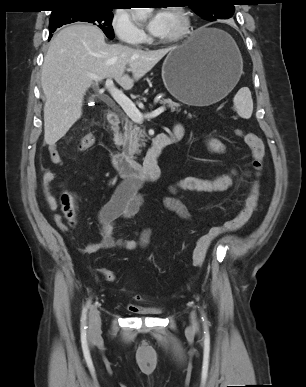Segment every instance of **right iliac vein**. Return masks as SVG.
<instances>
[{"mask_svg":"<svg viewBox=\"0 0 306 387\" xmlns=\"http://www.w3.org/2000/svg\"><path fill=\"white\" fill-rule=\"evenodd\" d=\"M101 327V319L99 312L96 309H91L89 313V331L92 336H96L99 333Z\"/></svg>","mask_w":306,"mask_h":387,"instance_id":"obj_1","label":"right iliac vein"}]
</instances>
